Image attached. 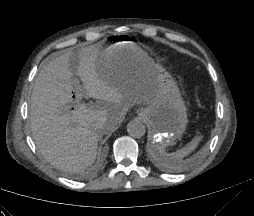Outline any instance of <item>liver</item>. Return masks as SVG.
<instances>
[{"mask_svg": "<svg viewBox=\"0 0 254 216\" xmlns=\"http://www.w3.org/2000/svg\"><path fill=\"white\" fill-rule=\"evenodd\" d=\"M102 46L96 43L60 55L41 69L35 81L31 131L41 154L57 169L77 172L87 168L96 157L100 136L114 131L130 107L151 101L152 73L106 71L110 59L100 58ZM74 75L96 102L75 105Z\"/></svg>", "mask_w": 254, "mask_h": 216, "instance_id": "obj_1", "label": "liver"}]
</instances>
